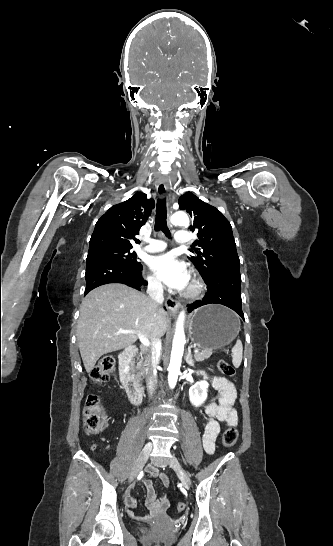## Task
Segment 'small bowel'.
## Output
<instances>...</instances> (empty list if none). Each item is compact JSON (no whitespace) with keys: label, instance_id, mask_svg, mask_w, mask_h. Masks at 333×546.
<instances>
[{"label":"small bowel","instance_id":"small-bowel-1","mask_svg":"<svg viewBox=\"0 0 333 546\" xmlns=\"http://www.w3.org/2000/svg\"><path fill=\"white\" fill-rule=\"evenodd\" d=\"M199 375L207 377L211 387L219 393L218 401L209 403L205 408V413L210 417V420L205 426L202 445L207 454H212L215 450V442L220 432V423L226 426L234 427L238 422V414L234 408L236 399V389L234 384L228 379L220 376H208L205 372H200ZM158 471L155 467H150L147 471V478L144 480V485L147 495V506L150 511V516H156L164 512L169 504L166 496H160L155 492L150 478L156 477ZM159 477L165 486H168L169 480L165 473L159 474ZM125 505L130 516L139 518L134 515L133 509L136 506V500L131 493H127Z\"/></svg>","mask_w":333,"mask_h":546}]
</instances>
